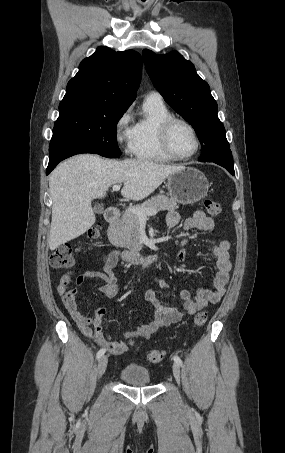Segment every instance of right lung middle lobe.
<instances>
[{"label":"right lung middle lobe","mask_w":285,"mask_h":453,"mask_svg":"<svg viewBox=\"0 0 285 453\" xmlns=\"http://www.w3.org/2000/svg\"><path fill=\"white\" fill-rule=\"evenodd\" d=\"M126 110L103 102H61L53 133L63 134L91 153L116 158L121 155L116 126Z\"/></svg>","instance_id":"right-lung-middle-lobe-1"}]
</instances>
